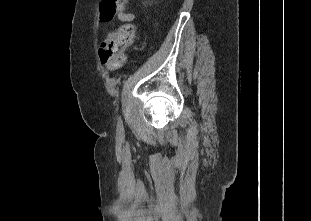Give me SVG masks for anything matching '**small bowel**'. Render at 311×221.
<instances>
[{
    "instance_id": "c3829d8e",
    "label": "small bowel",
    "mask_w": 311,
    "mask_h": 221,
    "mask_svg": "<svg viewBox=\"0 0 311 221\" xmlns=\"http://www.w3.org/2000/svg\"><path fill=\"white\" fill-rule=\"evenodd\" d=\"M117 18L121 22H132L136 19V15L133 12H127V11L121 9L117 13Z\"/></svg>"
}]
</instances>
